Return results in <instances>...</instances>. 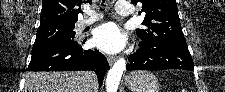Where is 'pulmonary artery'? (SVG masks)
<instances>
[{"instance_id": "e3ab8cb5", "label": "pulmonary artery", "mask_w": 225, "mask_h": 92, "mask_svg": "<svg viewBox=\"0 0 225 92\" xmlns=\"http://www.w3.org/2000/svg\"><path fill=\"white\" fill-rule=\"evenodd\" d=\"M118 11L120 14H123L125 16H129L132 14V11L129 9V3L120 1L117 5ZM86 14H88V17L82 19L78 23V28L83 29L91 24H93L95 21L102 18V15L99 13H96L94 11H86Z\"/></svg>"}]
</instances>
